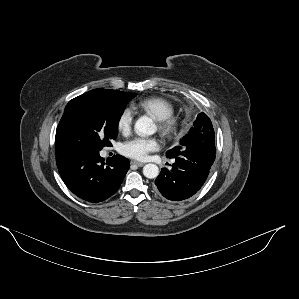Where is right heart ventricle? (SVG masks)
Segmentation results:
<instances>
[{"instance_id": "right-heart-ventricle-1", "label": "right heart ventricle", "mask_w": 299, "mask_h": 299, "mask_svg": "<svg viewBox=\"0 0 299 299\" xmlns=\"http://www.w3.org/2000/svg\"><path fill=\"white\" fill-rule=\"evenodd\" d=\"M133 107L149 114L157 121L172 117L174 114V105L169 100L159 96L143 98Z\"/></svg>"}]
</instances>
